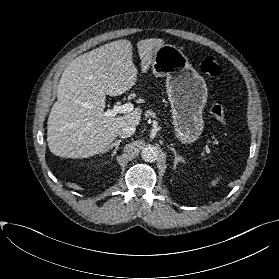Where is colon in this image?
<instances>
[{"label":"colon","mask_w":279,"mask_h":279,"mask_svg":"<svg viewBox=\"0 0 279 279\" xmlns=\"http://www.w3.org/2000/svg\"><path fill=\"white\" fill-rule=\"evenodd\" d=\"M200 71L211 77H218L221 74V67L213 56H207L200 64ZM211 113L213 117L220 123H226L224 107L216 102L211 106Z\"/></svg>","instance_id":"1"}]
</instances>
